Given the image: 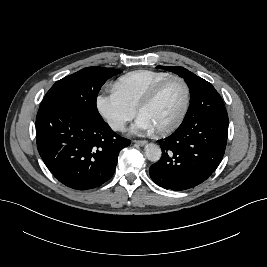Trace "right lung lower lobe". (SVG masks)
Instances as JSON below:
<instances>
[{
    "label": "right lung lower lobe",
    "mask_w": 267,
    "mask_h": 267,
    "mask_svg": "<svg viewBox=\"0 0 267 267\" xmlns=\"http://www.w3.org/2000/svg\"><path fill=\"white\" fill-rule=\"evenodd\" d=\"M39 154L50 172L76 190L101 186L114 174L119 152L130 140L103 119L91 120L70 108L43 101L36 117Z\"/></svg>",
    "instance_id": "1"
}]
</instances>
